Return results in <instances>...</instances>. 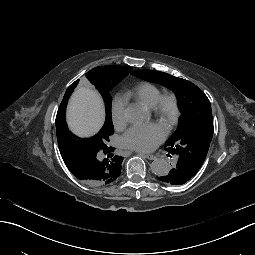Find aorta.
Returning a JSON list of instances; mask_svg holds the SVG:
<instances>
[{
  "label": "aorta",
  "mask_w": 255,
  "mask_h": 255,
  "mask_svg": "<svg viewBox=\"0 0 255 255\" xmlns=\"http://www.w3.org/2000/svg\"><path fill=\"white\" fill-rule=\"evenodd\" d=\"M125 117L131 123L142 122L146 118V112L139 106H129L125 110ZM151 170L157 176H163L170 170L167 160L157 158L151 163Z\"/></svg>",
  "instance_id": "762f6f07"
}]
</instances>
